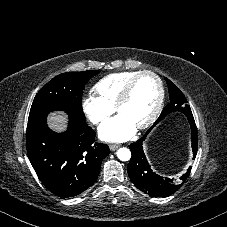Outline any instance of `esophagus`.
Wrapping results in <instances>:
<instances>
[{"label":"esophagus","instance_id":"obj_1","mask_svg":"<svg viewBox=\"0 0 227 227\" xmlns=\"http://www.w3.org/2000/svg\"><path fill=\"white\" fill-rule=\"evenodd\" d=\"M118 147H119V145H117V144H109V148L111 151H115Z\"/></svg>","mask_w":227,"mask_h":227}]
</instances>
